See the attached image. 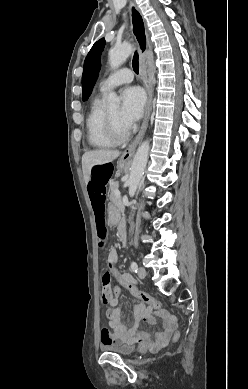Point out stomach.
<instances>
[{
	"instance_id": "stomach-1",
	"label": "stomach",
	"mask_w": 248,
	"mask_h": 389,
	"mask_svg": "<svg viewBox=\"0 0 248 389\" xmlns=\"http://www.w3.org/2000/svg\"><path fill=\"white\" fill-rule=\"evenodd\" d=\"M126 165L125 161H119L118 162V168L123 169ZM109 214L107 215V218L110 220L109 224L111 226H119L120 225V219L122 218V215L118 211V205L117 204H110L109 205Z\"/></svg>"
}]
</instances>
